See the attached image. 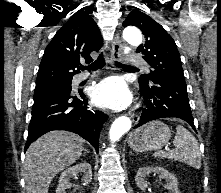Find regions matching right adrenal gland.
<instances>
[{"mask_svg":"<svg viewBox=\"0 0 221 193\" xmlns=\"http://www.w3.org/2000/svg\"><path fill=\"white\" fill-rule=\"evenodd\" d=\"M89 153V151L87 149H83V156H86V154Z\"/></svg>","mask_w":221,"mask_h":193,"instance_id":"2a0ac1e0","label":"right adrenal gland"}]
</instances>
